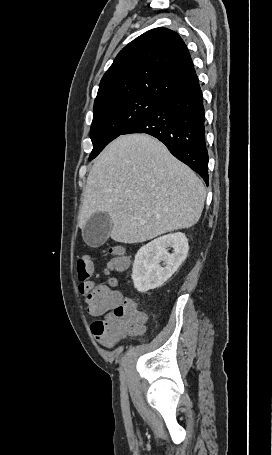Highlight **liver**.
<instances>
[{"label": "liver", "mask_w": 272, "mask_h": 455, "mask_svg": "<svg viewBox=\"0 0 272 455\" xmlns=\"http://www.w3.org/2000/svg\"><path fill=\"white\" fill-rule=\"evenodd\" d=\"M83 196L79 227L106 212L113 222L111 238L132 244L195 225L206 190L160 141L131 134L119 136L99 155Z\"/></svg>", "instance_id": "obj_1"}]
</instances>
